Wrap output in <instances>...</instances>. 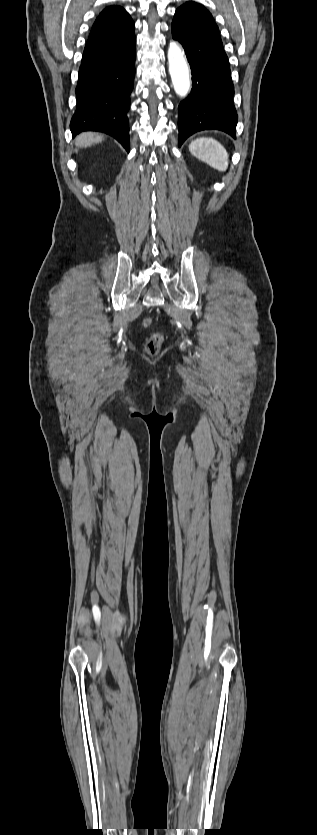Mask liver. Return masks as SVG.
I'll return each mask as SVG.
<instances>
[{"mask_svg":"<svg viewBox=\"0 0 317 835\" xmlns=\"http://www.w3.org/2000/svg\"><path fill=\"white\" fill-rule=\"evenodd\" d=\"M103 137L95 133H82L75 139V145L79 147H87L102 142Z\"/></svg>","mask_w":317,"mask_h":835,"instance_id":"obj_1","label":"liver"}]
</instances>
